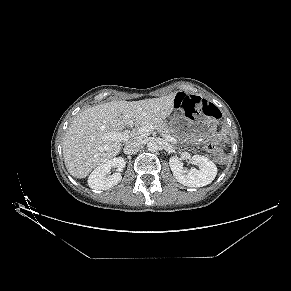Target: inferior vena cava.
<instances>
[{
	"label": "inferior vena cava",
	"instance_id": "1",
	"mask_svg": "<svg viewBox=\"0 0 291 291\" xmlns=\"http://www.w3.org/2000/svg\"><path fill=\"white\" fill-rule=\"evenodd\" d=\"M141 145L139 142H129L124 146V153L129 155V154H135L138 152V150L140 149Z\"/></svg>",
	"mask_w": 291,
	"mask_h": 291
}]
</instances>
